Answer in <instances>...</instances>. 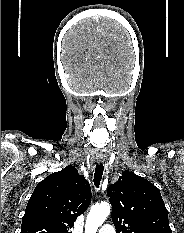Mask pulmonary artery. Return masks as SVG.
I'll return each instance as SVG.
<instances>
[{"label": "pulmonary artery", "instance_id": "pulmonary-artery-1", "mask_svg": "<svg viewBox=\"0 0 184 233\" xmlns=\"http://www.w3.org/2000/svg\"><path fill=\"white\" fill-rule=\"evenodd\" d=\"M98 233H116L115 228L110 224H105L100 227Z\"/></svg>", "mask_w": 184, "mask_h": 233}]
</instances>
